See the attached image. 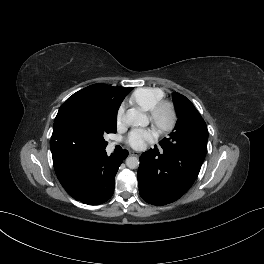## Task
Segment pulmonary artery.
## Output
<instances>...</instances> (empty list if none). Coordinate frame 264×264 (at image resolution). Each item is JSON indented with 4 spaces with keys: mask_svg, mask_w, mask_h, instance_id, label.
I'll return each mask as SVG.
<instances>
[{
    "mask_svg": "<svg viewBox=\"0 0 264 264\" xmlns=\"http://www.w3.org/2000/svg\"><path fill=\"white\" fill-rule=\"evenodd\" d=\"M114 146V144H111V147H113Z\"/></svg>",
    "mask_w": 264,
    "mask_h": 264,
    "instance_id": "e3ab8cb5",
    "label": "pulmonary artery"
}]
</instances>
